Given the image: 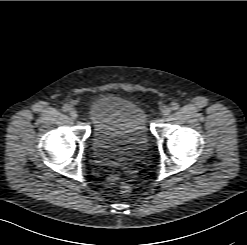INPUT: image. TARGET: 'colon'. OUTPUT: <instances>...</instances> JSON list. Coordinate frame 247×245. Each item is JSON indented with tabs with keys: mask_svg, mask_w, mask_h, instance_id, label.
<instances>
[{
	"mask_svg": "<svg viewBox=\"0 0 247 245\" xmlns=\"http://www.w3.org/2000/svg\"><path fill=\"white\" fill-rule=\"evenodd\" d=\"M119 190L123 195H129L132 191V188L129 184L122 183L119 187Z\"/></svg>",
	"mask_w": 247,
	"mask_h": 245,
	"instance_id": "obj_1",
	"label": "colon"
}]
</instances>
